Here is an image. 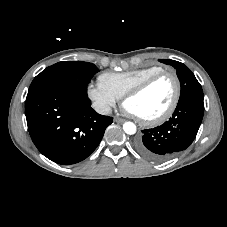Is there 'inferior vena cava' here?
<instances>
[{
  "mask_svg": "<svg viewBox=\"0 0 227 227\" xmlns=\"http://www.w3.org/2000/svg\"><path fill=\"white\" fill-rule=\"evenodd\" d=\"M96 111L102 115H109L112 113V109L109 106L103 105L96 108Z\"/></svg>",
  "mask_w": 227,
  "mask_h": 227,
  "instance_id": "1",
  "label": "inferior vena cava"
}]
</instances>
